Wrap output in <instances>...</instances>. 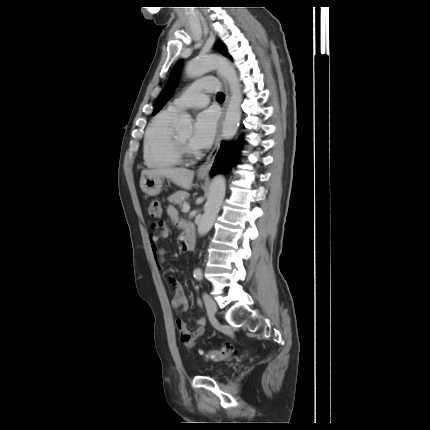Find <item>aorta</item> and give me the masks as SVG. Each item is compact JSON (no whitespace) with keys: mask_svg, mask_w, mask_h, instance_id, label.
Returning a JSON list of instances; mask_svg holds the SVG:
<instances>
[{"mask_svg":"<svg viewBox=\"0 0 430 430\" xmlns=\"http://www.w3.org/2000/svg\"><path fill=\"white\" fill-rule=\"evenodd\" d=\"M185 70L190 77H199L212 70H217L226 78L229 84L231 97L223 122L222 137L225 140L233 138L240 123L242 102L240 84L234 68L225 58L213 54L209 56H198L187 61ZM178 127L181 130H191V116L186 113L182 114L178 122ZM224 197L225 178L223 175H216L209 187V196L205 204L204 214L198 225V233L200 235L207 234L213 227Z\"/></svg>","mask_w":430,"mask_h":430,"instance_id":"1","label":"aorta"}]
</instances>
